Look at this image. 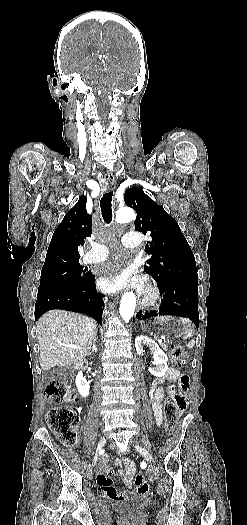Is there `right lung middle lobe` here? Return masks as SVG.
I'll return each instance as SVG.
<instances>
[{
  "mask_svg": "<svg viewBox=\"0 0 247 525\" xmlns=\"http://www.w3.org/2000/svg\"><path fill=\"white\" fill-rule=\"evenodd\" d=\"M82 270L83 267L79 262L43 270L38 293L55 287L81 284L92 275L91 273L82 275Z\"/></svg>",
  "mask_w": 247,
  "mask_h": 525,
  "instance_id": "right-lung-middle-lobe-1",
  "label": "right lung middle lobe"
}]
</instances>
